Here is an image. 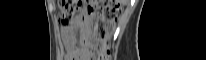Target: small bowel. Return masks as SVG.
Instances as JSON below:
<instances>
[{
  "label": "small bowel",
  "instance_id": "c3829d8e",
  "mask_svg": "<svg viewBox=\"0 0 206 60\" xmlns=\"http://www.w3.org/2000/svg\"><path fill=\"white\" fill-rule=\"evenodd\" d=\"M87 19L78 21L76 25L86 24ZM76 26H65L62 28V36L66 44V59L67 60H80L82 59L81 52L76 48L74 43V32Z\"/></svg>",
  "mask_w": 206,
  "mask_h": 60
}]
</instances>
